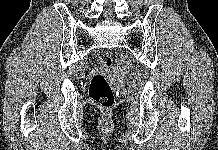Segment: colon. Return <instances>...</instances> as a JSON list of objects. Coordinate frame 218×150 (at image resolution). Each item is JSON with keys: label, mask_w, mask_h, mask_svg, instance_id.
<instances>
[{"label": "colon", "mask_w": 218, "mask_h": 150, "mask_svg": "<svg viewBox=\"0 0 218 150\" xmlns=\"http://www.w3.org/2000/svg\"><path fill=\"white\" fill-rule=\"evenodd\" d=\"M98 64L101 72L95 74L89 85L90 99L101 108H110L115 101L113 89L104 72L113 65V57L110 52L102 51L98 55Z\"/></svg>", "instance_id": "colon-1"}]
</instances>
